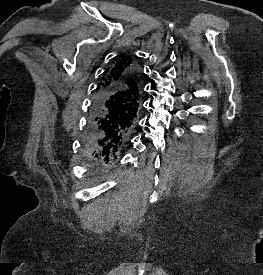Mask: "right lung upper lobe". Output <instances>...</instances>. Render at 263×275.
Returning a JSON list of instances; mask_svg holds the SVG:
<instances>
[{
    "instance_id": "right-lung-upper-lobe-1",
    "label": "right lung upper lobe",
    "mask_w": 263,
    "mask_h": 275,
    "mask_svg": "<svg viewBox=\"0 0 263 275\" xmlns=\"http://www.w3.org/2000/svg\"><path fill=\"white\" fill-rule=\"evenodd\" d=\"M135 67L131 57L122 56V59L114 63L111 69L105 74V78L98 87V91H102L112 87H121L128 90L126 107L127 112L137 114L140 99L141 90L139 85V79L133 78L129 75V71Z\"/></svg>"
}]
</instances>
